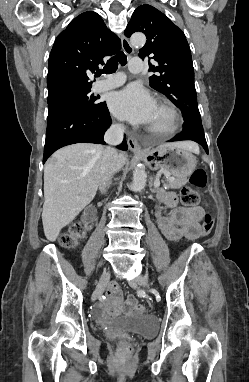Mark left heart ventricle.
Instances as JSON below:
<instances>
[{
    "instance_id": "1",
    "label": "left heart ventricle",
    "mask_w": 249,
    "mask_h": 382,
    "mask_svg": "<svg viewBox=\"0 0 249 382\" xmlns=\"http://www.w3.org/2000/svg\"><path fill=\"white\" fill-rule=\"evenodd\" d=\"M168 122V113L164 109L156 105L152 118L147 123V127L152 128L156 131H160L168 125Z\"/></svg>"
}]
</instances>
